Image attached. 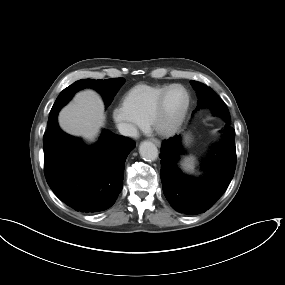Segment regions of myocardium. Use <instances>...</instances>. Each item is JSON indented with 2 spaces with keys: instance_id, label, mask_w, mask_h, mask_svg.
<instances>
[{
  "instance_id": "f54148a6",
  "label": "myocardium",
  "mask_w": 285,
  "mask_h": 285,
  "mask_svg": "<svg viewBox=\"0 0 285 285\" xmlns=\"http://www.w3.org/2000/svg\"><path fill=\"white\" fill-rule=\"evenodd\" d=\"M173 88H181L186 94V104L179 114V116L169 125L161 124V117L164 113L165 103L169 92ZM191 107V95L189 90L182 84H170L163 91L158 101L151 110L149 117L147 119V124L159 135L162 136H172L178 132V130L184 124L186 117L189 113Z\"/></svg>"
}]
</instances>
